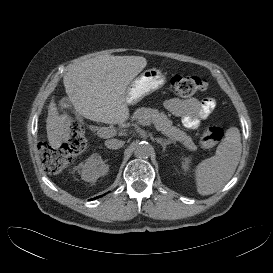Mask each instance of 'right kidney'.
<instances>
[{
  "mask_svg": "<svg viewBox=\"0 0 273 273\" xmlns=\"http://www.w3.org/2000/svg\"><path fill=\"white\" fill-rule=\"evenodd\" d=\"M108 167L98 154H93L82 165L81 177L84 181L95 182L100 176L105 175Z\"/></svg>",
  "mask_w": 273,
  "mask_h": 273,
  "instance_id": "obj_1",
  "label": "right kidney"
}]
</instances>
